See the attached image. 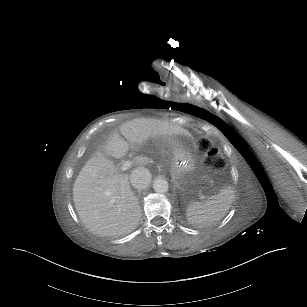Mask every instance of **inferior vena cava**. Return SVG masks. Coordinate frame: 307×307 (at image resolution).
<instances>
[{"instance_id":"obj_1","label":"inferior vena cava","mask_w":307,"mask_h":307,"mask_svg":"<svg viewBox=\"0 0 307 307\" xmlns=\"http://www.w3.org/2000/svg\"><path fill=\"white\" fill-rule=\"evenodd\" d=\"M152 175L145 167H137L130 174V182L136 189H146L151 183Z\"/></svg>"}]
</instances>
